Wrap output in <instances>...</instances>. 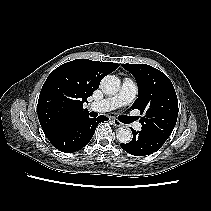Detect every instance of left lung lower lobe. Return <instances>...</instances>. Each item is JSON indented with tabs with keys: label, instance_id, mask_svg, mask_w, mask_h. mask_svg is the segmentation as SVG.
<instances>
[{
	"label": "left lung lower lobe",
	"instance_id": "1",
	"mask_svg": "<svg viewBox=\"0 0 211 211\" xmlns=\"http://www.w3.org/2000/svg\"><path fill=\"white\" fill-rule=\"evenodd\" d=\"M133 139L129 143L120 146L123 150L134 156H145L158 151L164 142L143 131L132 129Z\"/></svg>",
	"mask_w": 211,
	"mask_h": 211
}]
</instances>
